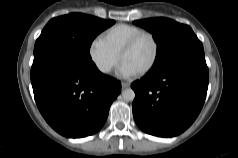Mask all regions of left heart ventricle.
Instances as JSON below:
<instances>
[{"instance_id": "1", "label": "left heart ventricle", "mask_w": 238, "mask_h": 158, "mask_svg": "<svg viewBox=\"0 0 238 158\" xmlns=\"http://www.w3.org/2000/svg\"><path fill=\"white\" fill-rule=\"evenodd\" d=\"M154 54L152 40L145 36L123 58V62L139 71L149 64Z\"/></svg>"}]
</instances>
